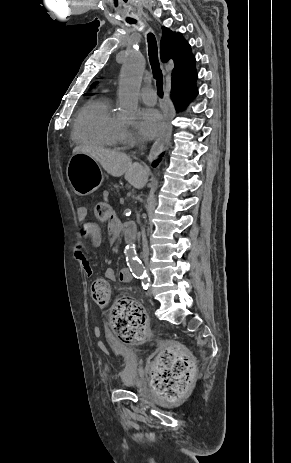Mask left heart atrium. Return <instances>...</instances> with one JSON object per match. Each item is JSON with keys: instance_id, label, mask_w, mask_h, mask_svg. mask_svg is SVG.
<instances>
[{"instance_id": "1", "label": "left heart atrium", "mask_w": 291, "mask_h": 463, "mask_svg": "<svg viewBox=\"0 0 291 463\" xmlns=\"http://www.w3.org/2000/svg\"><path fill=\"white\" fill-rule=\"evenodd\" d=\"M164 127V119L157 110L147 108L139 112L138 128L143 138L150 139L161 134Z\"/></svg>"}]
</instances>
